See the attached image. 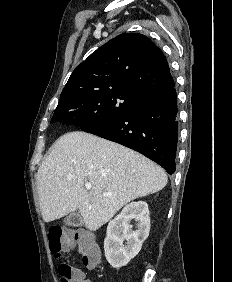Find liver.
Here are the masks:
<instances>
[{
	"mask_svg": "<svg viewBox=\"0 0 232 282\" xmlns=\"http://www.w3.org/2000/svg\"><path fill=\"white\" fill-rule=\"evenodd\" d=\"M167 181L165 171L138 152L72 131L56 140L40 165L37 190L45 222L79 210L85 227L96 231L125 204L162 190Z\"/></svg>",
	"mask_w": 232,
	"mask_h": 282,
	"instance_id": "obj_1",
	"label": "liver"
}]
</instances>
